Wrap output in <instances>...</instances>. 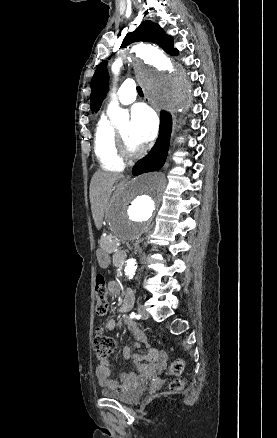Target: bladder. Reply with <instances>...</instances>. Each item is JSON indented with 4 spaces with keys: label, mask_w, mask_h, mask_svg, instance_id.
Wrapping results in <instances>:
<instances>
[{
    "label": "bladder",
    "mask_w": 277,
    "mask_h": 438,
    "mask_svg": "<svg viewBox=\"0 0 277 438\" xmlns=\"http://www.w3.org/2000/svg\"><path fill=\"white\" fill-rule=\"evenodd\" d=\"M99 394L114 399L124 405H134L143 395V389L139 386H130L125 390H113L109 388L99 389Z\"/></svg>",
    "instance_id": "31cf9c89"
}]
</instances>
